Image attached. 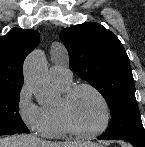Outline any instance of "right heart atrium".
Here are the masks:
<instances>
[{"label":"right heart atrium","instance_id":"obj_1","mask_svg":"<svg viewBox=\"0 0 145 147\" xmlns=\"http://www.w3.org/2000/svg\"><path fill=\"white\" fill-rule=\"evenodd\" d=\"M16 110L20 120L28 129L36 133L43 132L44 114L42 108L34 102L31 89L27 83H23L19 89Z\"/></svg>","mask_w":145,"mask_h":147}]
</instances>
